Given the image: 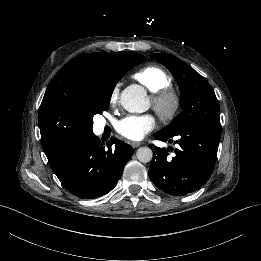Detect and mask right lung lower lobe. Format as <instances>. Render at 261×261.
Here are the masks:
<instances>
[{
  "label": "right lung lower lobe",
  "mask_w": 261,
  "mask_h": 261,
  "mask_svg": "<svg viewBox=\"0 0 261 261\" xmlns=\"http://www.w3.org/2000/svg\"><path fill=\"white\" fill-rule=\"evenodd\" d=\"M132 153L130 145L115 137L105 147L99 137L91 133L48 160L70 193L81 199H93L115 188Z\"/></svg>",
  "instance_id": "obj_1"
}]
</instances>
